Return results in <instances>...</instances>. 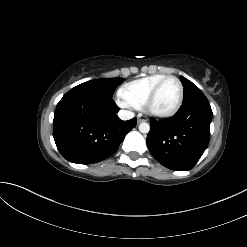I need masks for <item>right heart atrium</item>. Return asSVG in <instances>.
Instances as JSON below:
<instances>
[{
  "label": "right heart atrium",
  "instance_id": "d8ad5b80",
  "mask_svg": "<svg viewBox=\"0 0 247 247\" xmlns=\"http://www.w3.org/2000/svg\"><path fill=\"white\" fill-rule=\"evenodd\" d=\"M118 104L123 108H132L134 107L132 104H130L123 96H120L118 98Z\"/></svg>",
  "mask_w": 247,
  "mask_h": 247
}]
</instances>
